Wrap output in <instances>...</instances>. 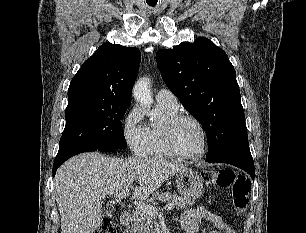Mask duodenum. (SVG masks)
Returning a JSON list of instances; mask_svg holds the SVG:
<instances>
[{
  "label": "duodenum",
  "instance_id": "obj_1",
  "mask_svg": "<svg viewBox=\"0 0 306 233\" xmlns=\"http://www.w3.org/2000/svg\"><path fill=\"white\" fill-rule=\"evenodd\" d=\"M120 222L122 226L128 227L131 222V213L128 210H125L120 215Z\"/></svg>",
  "mask_w": 306,
  "mask_h": 233
}]
</instances>
